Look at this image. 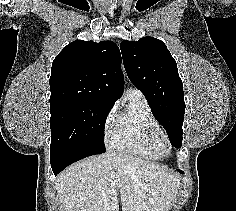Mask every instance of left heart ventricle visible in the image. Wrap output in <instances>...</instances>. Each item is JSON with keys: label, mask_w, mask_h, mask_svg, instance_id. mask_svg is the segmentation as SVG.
Segmentation results:
<instances>
[{"label": "left heart ventricle", "mask_w": 236, "mask_h": 211, "mask_svg": "<svg viewBox=\"0 0 236 211\" xmlns=\"http://www.w3.org/2000/svg\"><path fill=\"white\" fill-rule=\"evenodd\" d=\"M155 148L160 152V153H167L168 151V144L166 142V140L161 136H157L155 139Z\"/></svg>", "instance_id": "obj_1"}]
</instances>
